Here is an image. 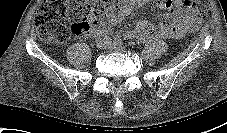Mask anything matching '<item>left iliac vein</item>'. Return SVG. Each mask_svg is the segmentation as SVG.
<instances>
[{
  "mask_svg": "<svg viewBox=\"0 0 227 133\" xmlns=\"http://www.w3.org/2000/svg\"><path fill=\"white\" fill-rule=\"evenodd\" d=\"M108 48L111 50H122L123 49L122 45H115V44H109Z\"/></svg>",
  "mask_w": 227,
  "mask_h": 133,
  "instance_id": "1",
  "label": "left iliac vein"
}]
</instances>
